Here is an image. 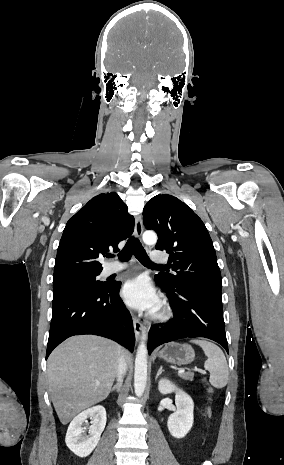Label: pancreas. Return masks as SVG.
Segmentation results:
<instances>
[{
    "label": "pancreas",
    "instance_id": "pancreas-1",
    "mask_svg": "<svg viewBox=\"0 0 284 465\" xmlns=\"http://www.w3.org/2000/svg\"><path fill=\"white\" fill-rule=\"evenodd\" d=\"M179 377H182L185 381H193L194 373H179Z\"/></svg>",
    "mask_w": 284,
    "mask_h": 465
}]
</instances>
